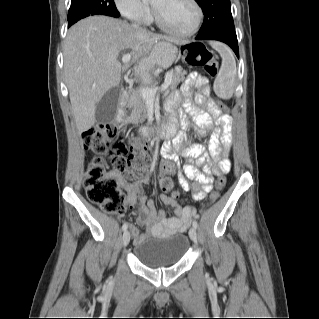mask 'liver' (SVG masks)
I'll list each match as a JSON object with an SVG mask.
<instances>
[{
  "label": "liver",
  "instance_id": "obj_1",
  "mask_svg": "<svg viewBox=\"0 0 319 319\" xmlns=\"http://www.w3.org/2000/svg\"><path fill=\"white\" fill-rule=\"evenodd\" d=\"M169 37L135 29L127 22L106 16H92L73 25L64 43V74L80 133L95 123L96 104L111 88L117 87L130 63L117 60L130 49L132 61L150 67L153 46ZM151 52V53H150Z\"/></svg>",
  "mask_w": 319,
  "mask_h": 319
}]
</instances>
